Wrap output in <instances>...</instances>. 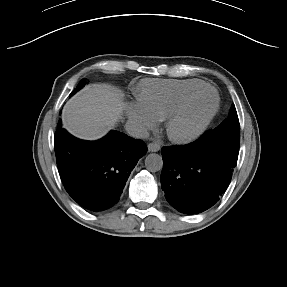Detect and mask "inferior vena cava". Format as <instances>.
Returning a JSON list of instances; mask_svg holds the SVG:
<instances>
[{"label":"inferior vena cava","instance_id":"1","mask_svg":"<svg viewBox=\"0 0 287 287\" xmlns=\"http://www.w3.org/2000/svg\"><path fill=\"white\" fill-rule=\"evenodd\" d=\"M125 130L127 134L132 138L145 139L149 137L147 128L134 120H128L126 122Z\"/></svg>","mask_w":287,"mask_h":287}]
</instances>
